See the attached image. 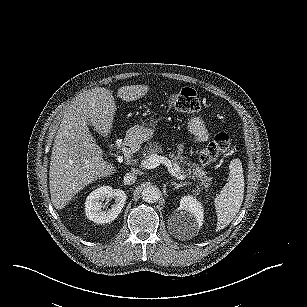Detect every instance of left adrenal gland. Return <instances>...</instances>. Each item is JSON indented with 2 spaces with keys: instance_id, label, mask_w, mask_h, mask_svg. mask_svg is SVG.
I'll list each match as a JSON object with an SVG mask.
<instances>
[{
  "instance_id": "left-adrenal-gland-1",
  "label": "left adrenal gland",
  "mask_w": 307,
  "mask_h": 307,
  "mask_svg": "<svg viewBox=\"0 0 307 307\" xmlns=\"http://www.w3.org/2000/svg\"><path fill=\"white\" fill-rule=\"evenodd\" d=\"M171 184L174 186L175 189H179L180 187H183L187 184H191V182L190 181H185V182H180V183L171 182Z\"/></svg>"
}]
</instances>
